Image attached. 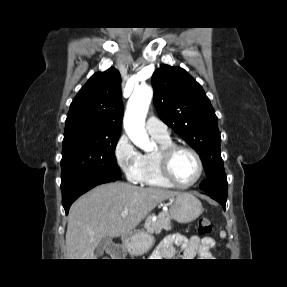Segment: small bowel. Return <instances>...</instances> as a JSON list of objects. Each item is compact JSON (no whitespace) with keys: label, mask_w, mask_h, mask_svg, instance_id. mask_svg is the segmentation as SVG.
<instances>
[{"label":"small bowel","mask_w":287,"mask_h":287,"mask_svg":"<svg viewBox=\"0 0 287 287\" xmlns=\"http://www.w3.org/2000/svg\"><path fill=\"white\" fill-rule=\"evenodd\" d=\"M215 246V240L210 237L199 238L193 236L187 239L182 234H172L167 236L159 245L154 257L175 258L182 256L185 259H193L196 256L201 258H209L210 250ZM180 248V251H178Z\"/></svg>","instance_id":"1"}]
</instances>
